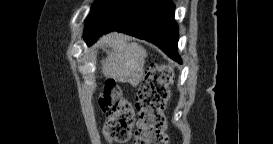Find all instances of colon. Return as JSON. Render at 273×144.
I'll list each match as a JSON object with an SVG mask.
<instances>
[{"instance_id": "colon-1", "label": "colon", "mask_w": 273, "mask_h": 144, "mask_svg": "<svg viewBox=\"0 0 273 144\" xmlns=\"http://www.w3.org/2000/svg\"><path fill=\"white\" fill-rule=\"evenodd\" d=\"M172 72L167 66H156L145 75L136 94L139 113L136 144H167L164 109L169 99ZM105 115L103 134L112 143L130 139L134 112L113 80L107 81L99 99Z\"/></svg>"}]
</instances>
